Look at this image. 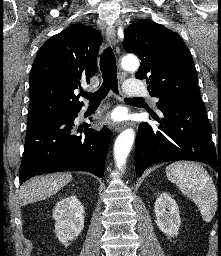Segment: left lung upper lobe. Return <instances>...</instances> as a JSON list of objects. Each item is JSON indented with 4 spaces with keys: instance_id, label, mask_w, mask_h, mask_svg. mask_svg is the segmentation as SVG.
Instances as JSON below:
<instances>
[{
    "instance_id": "left-lung-upper-lobe-1",
    "label": "left lung upper lobe",
    "mask_w": 221,
    "mask_h": 256,
    "mask_svg": "<svg viewBox=\"0 0 221 256\" xmlns=\"http://www.w3.org/2000/svg\"><path fill=\"white\" fill-rule=\"evenodd\" d=\"M124 48L140 58L135 77L146 79L149 93L159 98V109L204 107L191 54L177 33L155 22L141 20L124 30Z\"/></svg>"
}]
</instances>
